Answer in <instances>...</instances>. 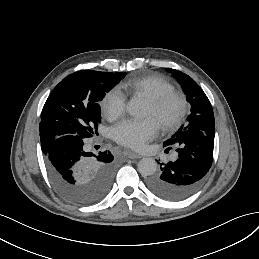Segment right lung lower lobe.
Returning a JSON list of instances; mask_svg holds the SVG:
<instances>
[{
	"instance_id": "1",
	"label": "right lung lower lobe",
	"mask_w": 259,
	"mask_h": 259,
	"mask_svg": "<svg viewBox=\"0 0 259 259\" xmlns=\"http://www.w3.org/2000/svg\"><path fill=\"white\" fill-rule=\"evenodd\" d=\"M63 136L50 145L45 162L56 189L69 201L91 205L100 201L109 191L115 162L110 151L92 153L86 149V140H69Z\"/></svg>"
}]
</instances>
